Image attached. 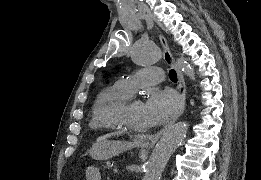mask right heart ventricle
I'll return each instance as SVG.
<instances>
[{"label": "right heart ventricle", "instance_id": "1", "mask_svg": "<svg viewBox=\"0 0 261 180\" xmlns=\"http://www.w3.org/2000/svg\"><path fill=\"white\" fill-rule=\"evenodd\" d=\"M129 95L118 84L103 89L96 98L88 123L90 133H104V131H116L113 114ZM112 136V138L117 137ZM92 138V139H112Z\"/></svg>", "mask_w": 261, "mask_h": 180}]
</instances>
